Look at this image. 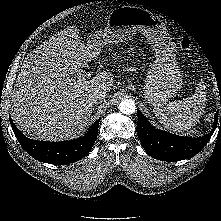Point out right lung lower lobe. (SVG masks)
<instances>
[{
	"instance_id": "98d812e1",
	"label": "right lung lower lobe",
	"mask_w": 221,
	"mask_h": 221,
	"mask_svg": "<svg viewBox=\"0 0 221 221\" xmlns=\"http://www.w3.org/2000/svg\"><path fill=\"white\" fill-rule=\"evenodd\" d=\"M99 122L100 119L93 124L83 137L64 142H47L27 138L18 130L10 118L14 134L23 149L38 161L55 165L72 163L83 158L94 145Z\"/></svg>"
}]
</instances>
